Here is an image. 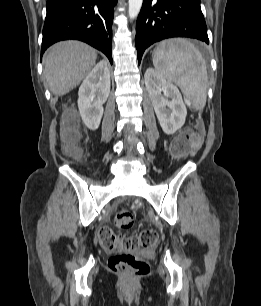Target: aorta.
Here are the masks:
<instances>
[{
	"mask_svg": "<svg viewBox=\"0 0 261 306\" xmlns=\"http://www.w3.org/2000/svg\"><path fill=\"white\" fill-rule=\"evenodd\" d=\"M143 0H129L128 16L130 19H135L142 7Z\"/></svg>",
	"mask_w": 261,
	"mask_h": 306,
	"instance_id": "obj_1",
	"label": "aorta"
}]
</instances>
